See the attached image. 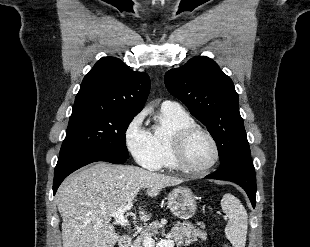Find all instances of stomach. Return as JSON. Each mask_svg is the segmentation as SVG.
Masks as SVG:
<instances>
[{
	"instance_id": "stomach-1",
	"label": "stomach",
	"mask_w": 310,
	"mask_h": 247,
	"mask_svg": "<svg viewBox=\"0 0 310 247\" xmlns=\"http://www.w3.org/2000/svg\"><path fill=\"white\" fill-rule=\"evenodd\" d=\"M167 207L176 217L187 220L196 212V197L189 188H175L168 195Z\"/></svg>"
}]
</instances>
